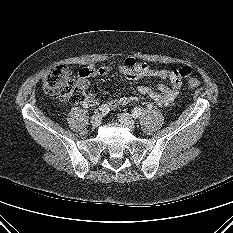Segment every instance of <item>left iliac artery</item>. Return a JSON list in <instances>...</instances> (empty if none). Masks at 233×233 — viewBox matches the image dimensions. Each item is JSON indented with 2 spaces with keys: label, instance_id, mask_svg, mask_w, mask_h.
<instances>
[{
  "label": "left iliac artery",
  "instance_id": "obj_1",
  "mask_svg": "<svg viewBox=\"0 0 233 233\" xmlns=\"http://www.w3.org/2000/svg\"><path fill=\"white\" fill-rule=\"evenodd\" d=\"M141 112H142V109L140 107L134 108V110L132 111L133 118H138Z\"/></svg>",
  "mask_w": 233,
  "mask_h": 233
}]
</instances>
